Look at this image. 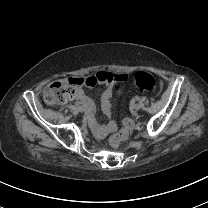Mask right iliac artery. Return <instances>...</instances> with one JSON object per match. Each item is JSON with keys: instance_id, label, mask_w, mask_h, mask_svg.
<instances>
[{"instance_id": "obj_1", "label": "right iliac artery", "mask_w": 208, "mask_h": 208, "mask_svg": "<svg viewBox=\"0 0 208 208\" xmlns=\"http://www.w3.org/2000/svg\"><path fill=\"white\" fill-rule=\"evenodd\" d=\"M75 105L77 106V107H80V102H75Z\"/></svg>"}]
</instances>
